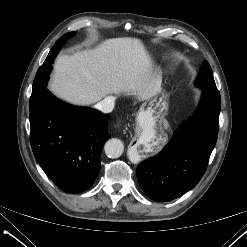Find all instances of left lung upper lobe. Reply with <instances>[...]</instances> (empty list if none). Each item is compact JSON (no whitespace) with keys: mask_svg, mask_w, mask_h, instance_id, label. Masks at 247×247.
Listing matches in <instances>:
<instances>
[{"mask_svg":"<svg viewBox=\"0 0 247 247\" xmlns=\"http://www.w3.org/2000/svg\"><path fill=\"white\" fill-rule=\"evenodd\" d=\"M195 84L198 88L208 92L216 97H220L219 91L216 87L211 67L207 61H204L200 67Z\"/></svg>","mask_w":247,"mask_h":247,"instance_id":"left-lung-upper-lobe-1","label":"left lung upper lobe"}]
</instances>
